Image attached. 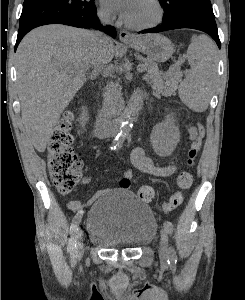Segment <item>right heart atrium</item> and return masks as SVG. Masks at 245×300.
<instances>
[{"mask_svg":"<svg viewBox=\"0 0 245 300\" xmlns=\"http://www.w3.org/2000/svg\"><path fill=\"white\" fill-rule=\"evenodd\" d=\"M98 14H99V17L104 21H109L111 19L110 10L104 5L99 6Z\"/></svg>","mask_w":245,"mask_h":300,"instance_id":"right-heart-atrium-1","label":"right heart atrium"}]
</instances>
